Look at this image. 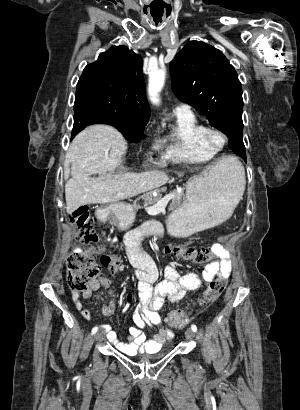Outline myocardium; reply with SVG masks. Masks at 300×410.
Returning a JSON list of instances; mask_svg holds the SVG:
<instances>
[{
  "instance_id": "myocardium-1",
  "label": "myocardium",
  "mask_w": 300,
  "mask_h": 410,
  "mask_svg": "<svg viewBox=\"0 0 300 410\" xmlns=\"http://www.w3.org/2000/svg\"><path fill=\"white\" fill-rule=\"evenodd\" d=\"M214 134H218L222 137L223 141L221 144L219 145L214 144V142L212 141V136ZM203 141L207 147L218 152L222 150L228 144L229 137L225 131H223L222 129L218 127H207L203 133Z\"/></svg>"
}]
</instances>
